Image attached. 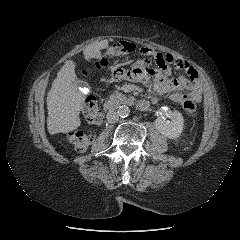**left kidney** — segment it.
Wrapping results in <instances>:
<instances>
[{
    "label": "left kidney",
    "instance_id": "obj_1",
    "mask_svg": "<svg viewBox=\"0 0 240 240\" xmlns=\"http://www.w3.org/2000/svg\"><path fill=\"white\" fill-rule=\"evenodd\" d=\"M158 117L154 122L156 129L165 137L175 139L180 136L184 126L182 114L177 110H171L169 107H161ZM169 118L170 121L166 120Z\"/></svg>",
    "mask_w": 240,
    "mask_h": 240
}]
</instances>
